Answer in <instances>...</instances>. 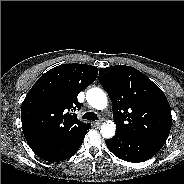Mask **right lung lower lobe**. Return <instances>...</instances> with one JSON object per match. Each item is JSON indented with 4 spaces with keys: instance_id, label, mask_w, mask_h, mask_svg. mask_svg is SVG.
Segmentation results:
<instances>
[{
    "instance_id": "1",
    "label": "right lung lower lobe",
    "mask_w": 184,
    "mask_h": 184,
    "mask_svg": "<svg viewBox=\"0 0 184 184\" xmlns=\"http://www.w3.org/2000/svg\"><path fill=\"white\" fill-rule=\"evenodd\" d=\"M85 134L86 132L75 139L55 143L40 149H35L33 150V152L38 157L46 161L50 162L63 161L73 156L79 150L84 140Z\"/></svg>"
}]
</instances>
